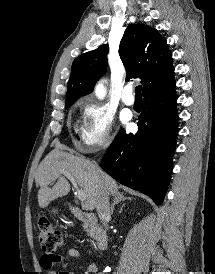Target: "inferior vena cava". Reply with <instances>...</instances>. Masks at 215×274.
I'll return each instance as SVG.
<instances>
[{
	"instance_id": "inferior-vena-cava-1",
	"label": "inferior vena cava",
	"mask_w": 215,
	"mask_h": 274,
	"mask_svg": "<svg viewBox=\"0 0 215 274\" xmlns=\"http://www.w3.org/2000/svg\"><path fill=\"white\" fill-rule=\"evenodd\" d=\"M96 169H100L97 164H95ZM98 216L101 222L106 225V222L110 219V207H109V193L102 184L98 202L96 205Z\"/></svg>"
}]
</instances>
